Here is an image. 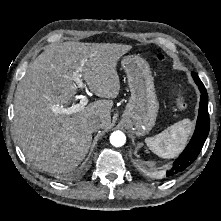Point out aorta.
Returning a JSON list of instances; mask_svg holds the SVG:
<instances>
[{
    "mask_svg": "<svg viewBox=\"0 0 221 221\" xmlns=\"http://www.w3.org/2000/svg\"><path fill=\"white\" fill-rule=\"evenodd\" d=\"M110 143L115 147H121L126 143V136L122 131H114L110 135Z\"/></svg>",
    "mask_w": 221,
    "mask_h": 221,
    "instance_id": "obj_1",
    "label": "aorta"
}]
</instances>
